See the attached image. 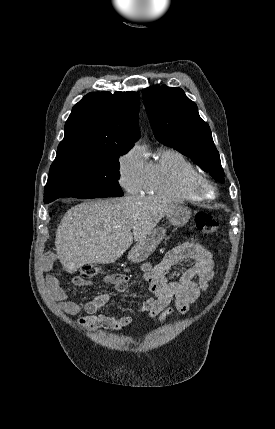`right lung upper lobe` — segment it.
I'll list each match as a JSON object with an SVG mask.
<instances>
[{
  "label": "right lung upper lobe",
  "instance_id": "1",
  "mask_svg": "<svg viewBox=\"0 0 275 429\" xmlns=\"http://www.w3.org/2000/svg\"><path fill=\"white\" fill-rule=\"evenodd\" d=\"M136 92H91L72 109L57 155L128 152L140 137Z\"/></svg>",
  "mask_w": 275,
  "mask_h": 429
}]
</instances>
